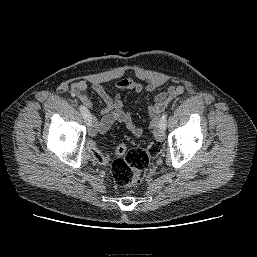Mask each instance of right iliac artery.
I'll list each match as a JSON object with an SVG mask.
<instances>
[{
  "label": "right iliac artery",
  "mask_w": 257,
  "mask_h": 257,
  "mask_svg": "<svg viewBox=\"0 0 257 257\" xmlns=\"http://www.w3.org/2000/svg\"><path fill=\"white\" fill-rule=\"evenodd\" d=\"M79 110L82 113L83 118L85 119V122L90 125L88 122L90 121L91 118V114L89 112V110L84 106V105H80L79 106Z\"/></svg>",
  "instance_id": "right-iliac-artery-1"
}]
</instances>
